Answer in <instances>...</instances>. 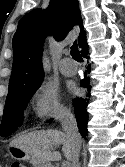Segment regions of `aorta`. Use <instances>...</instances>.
Wrapping results in <instances>:
<instances>
[{
  "mask_svg": "<svg viewBox=\"0 0 125 167\" xmlns=\"http://www.w3.org/2000/svg\"><path fill=\"white\" fill-rule=\"evenodd\" d=\"M44 68L46 71H49V65L47 61L44 63Z\"/></svg>",
  "mask_w": 125,
  "mask_h": 167,
  "instance_id": "aorta-1",
  "label": "aorta"
}]
</instances>
